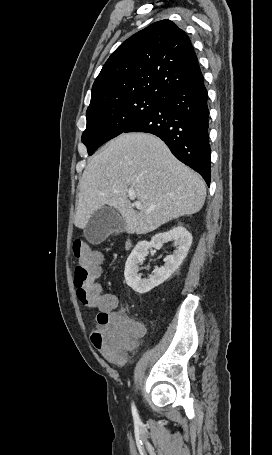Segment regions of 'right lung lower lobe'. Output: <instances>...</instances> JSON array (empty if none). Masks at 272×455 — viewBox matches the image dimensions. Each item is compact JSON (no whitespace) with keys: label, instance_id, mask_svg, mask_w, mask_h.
I'll list each match as a JSON object with an SVG mask.
<instances>
[{"label":"right lung lower lobe","instance_id":"1","mask_svg":"<svg viewBox=\"0 0 272 455\" xmlns=\"http://www.w3.org/2000/svg\"><path fill=\"white\" fill-rule=\"evenodd\" d=\"M207 90L203 75L165 95L160 106L124 132H145L160 137L181 162L210 184Z\"/></svg>","mask_w":272,"mask_h":455}]
</instances>
